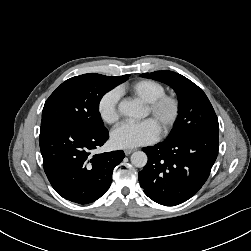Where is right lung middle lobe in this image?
I'll list each match as a JSON object with an SVG mask.
<instances>
[{"label":"right lung middle lobe","instance_id":"right-lung-middle-lobe-1","mask_svg":"<svg viewBox=\"0 0 251 251\" xmlns=\"http://www.w3.org/2000/svg\"><path fill=\"white\" fill-rule=\"evenodd\" d=\"M129 76L90 73L66 80L45 102L41 127L50 123L66 122L86 129H105L99 113V102L106 92Z\"/></svg>","mask_w":251,"mask_h":251}]
</instances>
